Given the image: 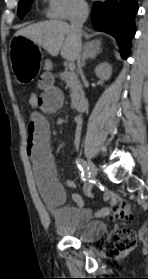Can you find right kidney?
<instances>
[{"label":"right kidney","mask_w":148,"mask_h":279,"mask_svg":"<svg viewBox=\"0 0 148 279\" xmlns=\"http://www.w3.org/2000/svg\"><path fill=\"white\" fill-rule=\"evenodd\" d=\"M96 76L101 80H109L112 74V66L107 63H101L95 68Z\"/></svg>","instance_id":"ca27d5eb"}]
</instances>
